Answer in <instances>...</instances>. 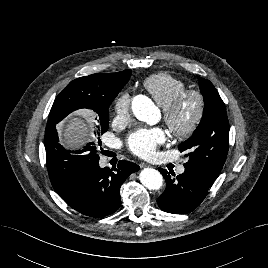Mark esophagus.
<instances>
[{
  "mask_svg": "<svg viewBox=\"0 0 268 268\" xmlns=\"http://www.w3.org/2000/svg\"><path fill=\"white\" fill-rule=\"evenodd\" d=\"M148 166H149V165L146 164V163H144V162H141V163H140V167H141V168L148 167Z\"/></svg>",
  "mask_w": 268,
  "mask_h": 268,
  "instance_id": "1",
  "label": "esophagus"
}]
</instances>
